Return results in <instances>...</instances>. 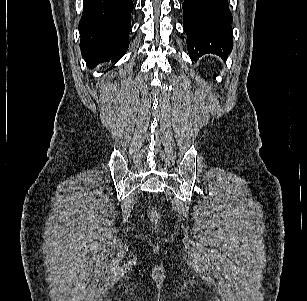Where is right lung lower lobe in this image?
<instances>
[{"label":"right lung lower lobe","instance_id":"1","mask_svg":"<svg viewBox=\"0 0 307 301\" xmlns=\"http://www.w3.org/2000/svg\"><path fill=\"white\" fill-rule=\"evenodd\" d=\"M132 0H83L80 48L87 66L118 61L127 51Z\"/></svg>","mask_w":307,"mask_h":301}]
</instances>
